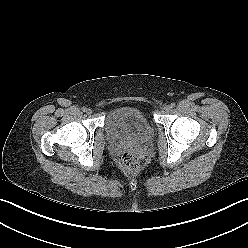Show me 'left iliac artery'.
<instances>
[{
	"label": "left iliac artery",
	"instance_id": "obj_1",
	"mask_svg": "<svg viewBox=\"0 0 248 248\" xmlns=\"http://www.w3.org/2000/svg\"><path fill=\"white\" fill-rule=\"evenodd\" d=\"M175 107V103H171V108H174Z\"/></svg>",
	"mask_w": 248,
	"mask_h": 248
}]
</instances>
